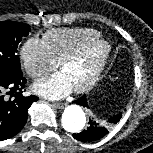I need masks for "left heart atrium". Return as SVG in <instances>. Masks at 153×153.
<instances>
[{
    "label": "left heart atrium",
    "instance_id": "39dd6f15",
    "mask_svg": "<svg viewBox=\"0 0 153 153\" xmlns=\"http://www.w3.org/2000/svg\"><path fill=\"white\" fill-rule=\"evenodd\" d=\"M73 86L63 72H58L34 84V90L48 99H61L68 95Z\"/></svg>",
    "mask_w": 153,
    "mask_h": 153
}]
</instances>
